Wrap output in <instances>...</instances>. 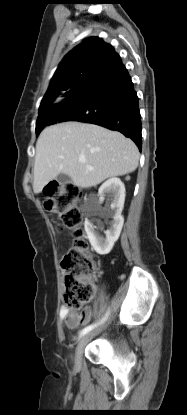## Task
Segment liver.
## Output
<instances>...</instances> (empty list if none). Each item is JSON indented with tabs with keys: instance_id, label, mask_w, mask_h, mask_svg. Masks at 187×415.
<instances>
[{
	"instance_id": "liver-1",
	"label": "liver",
	"mask_w": 187,
	"mask_h": 415,
	"mask_svg": "<svg viewBox=\"0 0 187 415\" xmlns=\"http://www.w3.org/2000/svg\"><path fill=\"white\" fill-rule=\"evenodd\" d=\"M138 161L135 143L117 131L88 123H59L45 128L37 140L33 191L40 193L60 173L74 185L90 188L135 171Z\"/></svg>"
}]
</instances>
